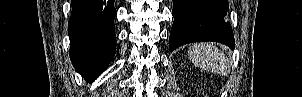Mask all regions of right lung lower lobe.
<instances>
[{
	"mask_svg": "<svg viewBox=\"0 0 302 97\" xmlns=\"http://www.w3.org/2000/svg\"><path fill=\"white\" fill-rule=\"evenodd\" d=\"M114 0H72L68 23L70 58L86 80H95L116 50Z\"/></svg>",
	"mask_w": 302,
	"mask_h": 97,
	"instance_id": "98d812e1",
	"label": "right lung lower lobe"
}]
</instances>
